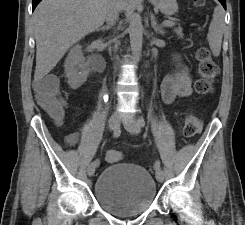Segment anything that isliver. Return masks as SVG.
Listing matches in <instances>:
<instances>
[{"label":"liver","mask_w":245,"mask_h":225,"mask_svg":"<svg viewBox=\"0 0 245 225\" xmlns=\"http://www.w3.org/2000/svg\"><path fill=\"white\" fill-rule=\"evenodd\" d=\"M109 0H42L34 11L36 70L34 80L47 75L67 50L103 25ZM120 11L126 0H117Z\"/></svg>","instance_id":"6515ba94"}]
</instances>
